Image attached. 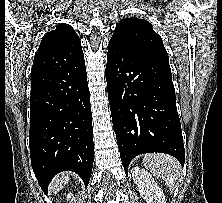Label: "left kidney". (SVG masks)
Wrapping results in <instances>:
<instances>
[{
  "instance_id": "5707ae66",
  "label": "left kidney",
  "mask_w": 222,
  "mask_h": 203,
  "mask_svg": "<svg viewBox=\"0 0 222 203\" xmlns=\"http://www.w3.org/2000/svg\"><path fill=\"white\" fill-rule=\"evenodd\" d=\"M131 173L134 183L147 203H166L162 189L149 172L139 166H135L132 168Z\"/></svg>"
}]
</instances>
